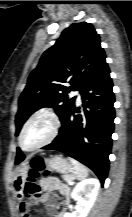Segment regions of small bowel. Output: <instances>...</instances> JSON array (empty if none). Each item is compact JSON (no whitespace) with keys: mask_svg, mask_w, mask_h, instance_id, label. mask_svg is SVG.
Segmentation results:
<instances>
[{"mask_svg":"<svg viewBox=\"0 0 132 217\" xmlns=\"http://www.w3.org/2000/svg\"><path fill=\"white\" fill-rule=\"evenodd\" d=\"M40 185L41 188L46 192V194L42 197V201L45 203L46 211L49 214H53L57 209L54 200L49 195L50 192L56 191L60 196L66 199H69L70 197V188L56 177H46L41 180ZM19 198H22L21 194H19ZM29 207L30 202H20L19 210L21 217H30L28 214Z\"/></svg>","mask_w":132,"mask_h":217,"instance_id":"obj_1","label":"small bowel"}]
</instances>
